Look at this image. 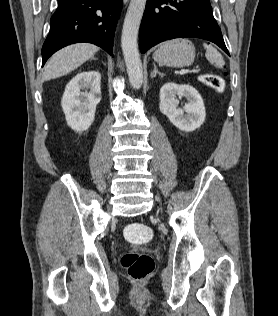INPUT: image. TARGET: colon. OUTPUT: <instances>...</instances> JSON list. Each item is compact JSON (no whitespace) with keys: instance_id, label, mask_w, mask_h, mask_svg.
<instances>
[{"instance_id":"colon-1","label":"colon","mask_w":278,"mask_h":316,"mask_svg":"<svg viewBox=\"0 0 278 316\" xmlns=\"http://www.w3.org/2000/svg\"><path fill=\"white\" fill-rule=\"evenodd\" d=\"M202 82L216 92H222L225 81L221 75L205 74ZM125 238L132 243L142 244L149 242L153 237L151 228L143 223H130L124 229ZM121 265L128 275L135 281L142 282L153 272L155 263L153 258L145 253L130 252L121 257Z\"/></svg>"}]
</instances>
